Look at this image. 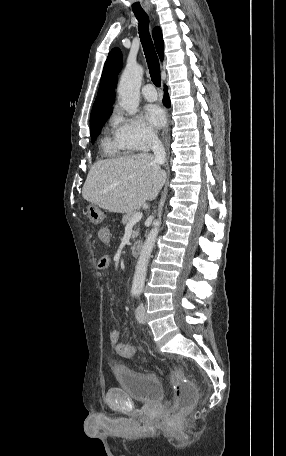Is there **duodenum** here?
Segmentation results:
<instances>
[{
    "label": "duodenum",
    "instance_id": "duodenum-1",
    "mask_svg": "<svg viewBox=\"0 0 286 456\" xmlns=\"http://www.w3.org/2000/svg\"><path fill=\"white\" fill-rule=\"evenodd\" d=\"M130 250L134 256H138L142 250V242L139 240L132 242Z\"/></svg>",
    "mask_w": 286,
    "mask_h": 456
}]
</instances>
